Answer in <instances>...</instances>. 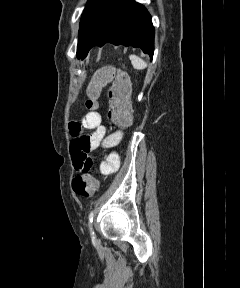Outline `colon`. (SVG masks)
<instances>
[{
	"label": "colon",
	"mask_w": 240,
	"mask_h": 288,
	"mask_svg": "<svg viewBox=\"0 0 240 288\" xmlns=\"http://www.w3.org/2000/svg\"><path fill=\"white\" fill-rule=\"evenodd\" d=\"M108 84H111L108 93L109 118L117 126H128L132 120L131 86L127 74L120 69L105 66L94 73L86 91V106L90 109L96 108L100 92ZM88 170L76 176L72 182L75 193L83 198L91 197L99 187L98 181Z\"/></svg>",
	"instance_id": "5ec220e1"
}]
</instances>
